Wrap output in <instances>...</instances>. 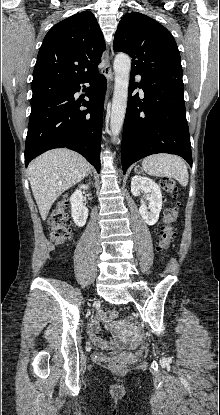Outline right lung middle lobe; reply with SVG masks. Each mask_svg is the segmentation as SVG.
I'll return each instance as SVG.
<instances>
[{"mask_svg": "<svg viewBox=\"0 0 220 415\" xmlns=\"http://www.w3.org/2000/svg\"><path fill=\"white\" fill-rule=\"evenodd\" d=\"M70 83L61 81H43L32 83L31 106L46 101L48 99L60 96L67 90Z\"/></svg>", "mask_w": 220, "mask_h": 415, "instance_id": "obj_1", "label": "right lung middle lobe"}]
</instances>
